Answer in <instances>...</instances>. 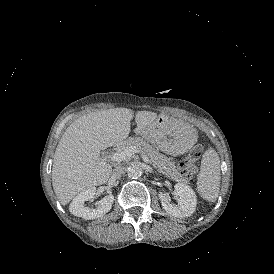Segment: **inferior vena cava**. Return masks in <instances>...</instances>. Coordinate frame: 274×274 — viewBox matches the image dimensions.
Instances as JSON below:
<instances>
[{"mask_svg":"<svg viewBox=\"0 0 274 274\" xmlns=\"http://www.w3.org/2000/svg\"><path fill=\"white\" fill-rule=\"evenodd\" d=\"M126 170L127 169L124 166H117L113 169L112 176L116 179L121 178L125 174Z\"/></svg>","mask_w":274,"mask_h":274,"instance_id":"obj_1","label":"inferior vena cava"}]
</instances>
